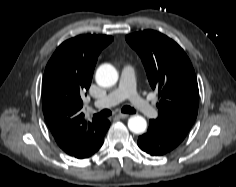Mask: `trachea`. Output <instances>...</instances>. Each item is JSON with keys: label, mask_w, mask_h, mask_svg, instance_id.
Listing matches in <instances>:
<instances>
[{"label": "trachea", "mask_w": 236, "mask_h": 187, "mask_svg": "<svg viewBox=\"0 0 236 187\" xmlns=\"http://www.w3.org/2000/svg\"><path fill=\"white\" fill-rule=\"evenodd\" d=\"M121 111L123 113H128V114H134L136 113V110L130 106H124ZM111 111L108 109L102 110L101 112L94 114L95 118H104V117H108L111 115Z\"/></svg>", "instance_id": "trachea-1"}]
</instances>
